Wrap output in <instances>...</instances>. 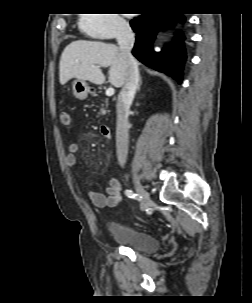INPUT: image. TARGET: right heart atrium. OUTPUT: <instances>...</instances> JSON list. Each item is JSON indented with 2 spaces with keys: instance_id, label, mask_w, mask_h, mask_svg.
<instances>
[{
  "instance_id": "right-heart-atrium-1",
  "label": "right heart atrium",
  "mask_w": 252,
  "mask_h": 303,
  "mask_svg": "<svg viewBox=\"0 0 252 303\" xmlns=\"http://www.w3.org/2000/svg\"><path fill=\"white\" fill-rule=\"evenodd\" d=\"M78 23L89 36L99 40L124 36L130 29L119 14H83Z\"/></svg>"
}]
</instances>
